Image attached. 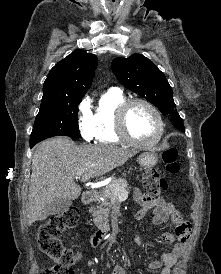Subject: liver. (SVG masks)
Returning a JSON list of instances; mask_svg holds the SVG:
<instances>
[{
  "label": "liver",
  "mask_w": 221,
  "mask_h": 274,
  "mask_svg": "<svg viewBox=\"0 0 221 274\" xmlns=\"http://www.w3.org/2000/svg\"><path fill=\"white\" fill-rule=\"evenodd\" d=\"M136 153L109 145L78 146L65 137L41 142L32 157L27 224L45 218V206L56 199L80 196L81 187L74 182L78 171L84 170L85 182L123 165Z\"/></svg>",
  "instance_id": "1"
}]
</instances>
